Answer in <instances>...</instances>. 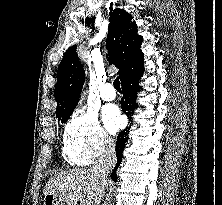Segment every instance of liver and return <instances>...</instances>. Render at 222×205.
I'll return each mask as SVG.
<instances>
[{
  "label": "liver",
  "instance_id": "6515ba94",
  "mask_svg": "<svg viewBox=\"0 0 222 205\" xmlns=\"http://www.w3.org/2000/svg\"><path fill=\"white\" fill-rule=\"evenodd\" d=\"M105 188L93 169L74 168L50 178L44 194H55L67 203L96 205L102 200Z\"/></svg>",
  "mask_w": 222,
  "mask_h": 205
}]
</instances>
